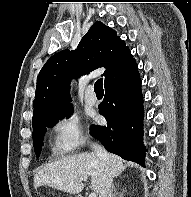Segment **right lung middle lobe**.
I'll return each mask as SVG.
<instances>
[{
  "label": "right lung middle lobe",
  "instance_id": "1",
  "mask_svg": "<svg viewBox=\"0 0 191 197\" xmlns=\"http://www.w3.org/2000/svg\"><path fill=\"white\" fill-rule=\"evenodd\" d=\"M72 113L73 107L65 111H62L33 127V146L37 157H39L41 153L46 128L52 127L58 122L59 119L69 117L70 115H72Z\"/></svg>",
  "mask_w": 191,
  "mask_h": 197
}]
</instances>
